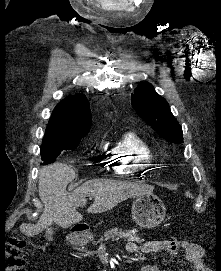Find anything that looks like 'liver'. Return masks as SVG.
<instances>
[{
  "mask_svg": "<svg viewBox=\"0 0 221 271\" xmlns=\"http://www.w3.org/2000/svg\"><path fill=\"white\" fill-rule=\"evenodd\" d=\"M74 177L76 171L73 165L60 161L43 165L39 169L38 191L44 209L35 225L22 229L25 235H37L52 223H58L61 227L79 223L83 215L77 211L76 205H82L87 195L95 197L94 203L87 207L88 213H102L127 197L142 195L141 189L135 187L134 183H124L116 179H89L69 193L67 185Z\"/></svg>",
  "mask_w": 221,
  "mask_h": 271,
  "instance_id": "6515ba94",
  "label": "liver"
}]
</instances>
